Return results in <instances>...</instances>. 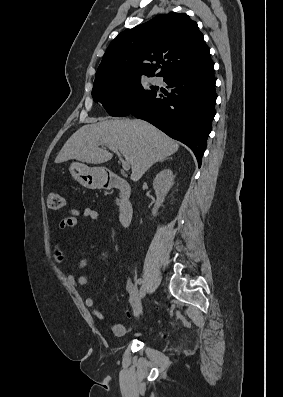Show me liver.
I'll return each instance as SVG.
<instances>
[{"mask_svg":"<svg viewBox=\"0 0 283 397\" xmlns=\"http://www.w3.org/2000/svg\"><path fill=\"white\" fill-rule=\"evenodd\" d=\"M100 146L117 148L130 164L131 180L137 182L155 163L179 149V144L142 120H105L78 129L64 144L55 163L76 159L102 164L112 153Z\"/></svg>","mask_w":283,"mask_h":397,"instance_id":"6515ba94","label":"liver"}]
</instances>
